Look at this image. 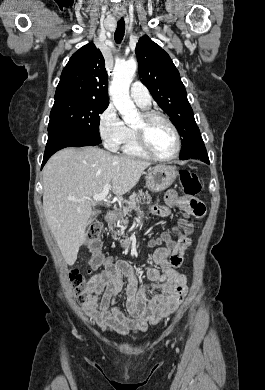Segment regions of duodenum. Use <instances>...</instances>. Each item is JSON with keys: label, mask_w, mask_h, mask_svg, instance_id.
Masks as SVG:
<instances>
[{"label": "duodenum", "mask_w": 265, "mask_h": 390, "mask_svg": "<svg viewBox=\"0 0 265 390\" xmlns=\"http://www.w3.org/2000/svg\"><path fill=\"white\" fill-rule=\"evenodd\" d=\"M116 219H117V214L113 211L108 212L105 216V221L108 224L115 222Z\"/></svg>", "instance_id": "410a0bca"}]
</instances>
